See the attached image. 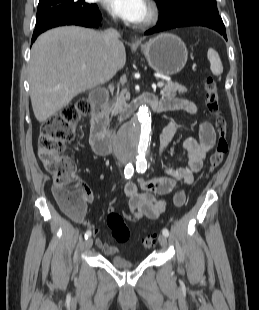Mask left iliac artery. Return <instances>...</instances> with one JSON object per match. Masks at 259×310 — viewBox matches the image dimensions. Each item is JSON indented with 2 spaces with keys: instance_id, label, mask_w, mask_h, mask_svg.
Returning a JSON list of instances; mask_svg holds the SVG:
<instances>
[{
  "instance_id": "obj_1",
  "label": "left iliac artery",
  "mask_w": 259,
  "mask_h": 310,
  "mask_svg": "<svg viewBox=\"0 0 259 310\" xmlns=\"http://www.w3.org/2000/svg\"><path fill=\"white\" fill-rule=\"evenodd\" d=\"M136 169H137V172H141V173H144L147 169V162L144 160V161H138L136 163ZM162 233L163 235H165L166 237L169 236V231L167 228H164L162 230Z\"/></svg>"
}]
</instances>
